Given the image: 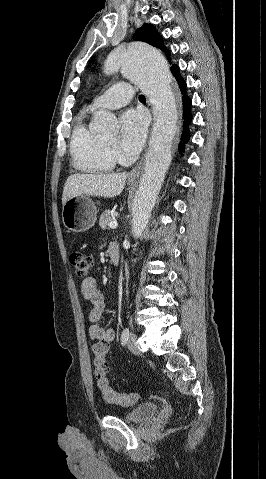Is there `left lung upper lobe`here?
Wrapping results in <instances>:
<instances>
[{"label":"left lung upper lobe","mask_w":266,"mask_h":479,"mask_svg":"<svg viewBox=\"0 0 266 479\" xmlns=\"http://www.w3.org/2000/svg\"><path fill=\"white\" fill-rule=\"evenodd\" d=\"M136 41L147 42L154 47L162 49L167 56H169V51L166 50L162 43V37L156 31L155 27L152 24H143V26L135 32L133 36ZM176 65H172L173 68Z\"/></svg>","instance_id":"1"}]
</instances>
